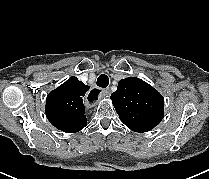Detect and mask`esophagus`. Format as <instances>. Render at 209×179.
Instances as JSON below:
<instances>
[{
    "instance_id": "obj_1",
    "label": "esophagus",
    "mask_w": 209,
    "mask_h": 179,
    "mask_svg": "<svg viewBox=\"0 0 209 179\" xmlns=\"http://www.w3.org/2000/svg\"><path fill=\"white\" fill-rule=\"evenodd\" d=\"M110 95V89L106 88V89H102V88H97L92 90L91 94L89 95L88 99L90 102H95L98 100L99 98H103V97H108Z\"/></svg>"
}]
</instances>
